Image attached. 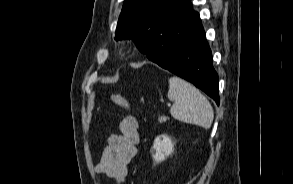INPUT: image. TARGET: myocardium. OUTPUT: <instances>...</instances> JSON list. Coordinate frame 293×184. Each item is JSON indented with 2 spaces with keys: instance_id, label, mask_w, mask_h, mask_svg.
Masks as SVG:
<instances>
[{
  "instance_id": "f54148a6",
  "label": "myocardium",
  "mask_w": 293,
  "mask_h": 184,
  "mask_svg": "<svg viewBox=\"0 0 293 184\" xmlns=\"http://www.w3.org/2000/svg\"><path fill=\"white\" fill-rule=\"evenodd\" d=\"M121 49L122 50H128L129 49V43L127 41H124L121 43Z\"/></svg>"
}]
</instances>
